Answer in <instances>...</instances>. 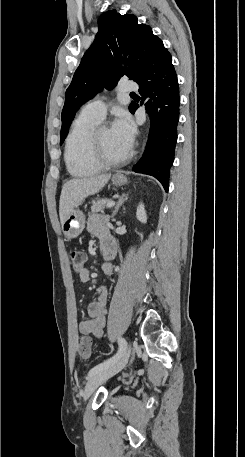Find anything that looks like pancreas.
Instances as JSON below:
<instances>
[{"instance_id":"cf45deb5","label":"pancreas","mask_w":245,"mask_h":457,"mask_svg":"<svg viewBox=\"0 0 245 457\" xmlns=\"http://www.w3.org/2000/svg\"><path fill=\"white\" fill-rule=\"evenodd\" d=\"M110 200L111 198H98V200H93L91 212H100V210H104L107 202H110Z\"/></svg>"}]
</instances>
